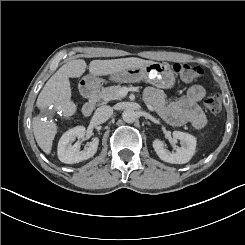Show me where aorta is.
I'll use <instances>...</instances> for the list:
<instances>
[{
  "label": "aorta",
  "instance_id": "obj_1",
  "mask_svg": "<svg viewBox=\"0 0 245 245\" xmlns=\"http://www.w3.org/2000/svg\"><path fill=\"white\" fill-rule=\"evenodd\" d=\"M122 118L126 123H133L137 116L134 110L126 109L122 113Z\"/></svg>",
  "mask_w": 245,
  "mask_h": 245
}]
</instances>
